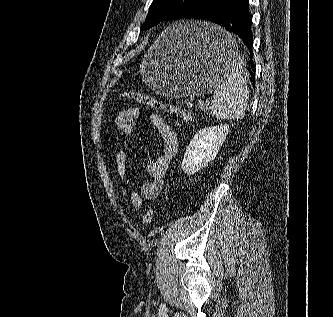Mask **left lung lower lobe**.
Wrapping results in <instances>:
<instances>
[{"instance_id":"obj_1","label":"left lung lower lobe","mask_w":333,"mask_h":317,"mask_svg":"<svg viewBox=\"0 0 333 317\" xmlns=\"http://www.w3.org/2000/svg\"><path fill=\"white\" fill-rule=\"evenodd\" d=\"M186 19L205 20L220 25L238 35L252 54V15L249 11V0H213L210 4L191 12ZM248 71L253 74L252 65ZM250 80L255 85V78L251 77Z\"/></svg>"}]
</instances>
